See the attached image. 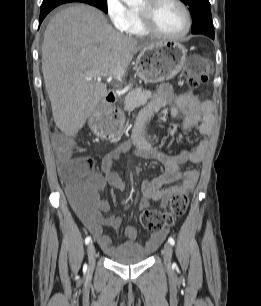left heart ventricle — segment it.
I'll list each match as a JSON object with an SVG mask.
<instances>
[{
	"mask_svg": "<svg viewBox=\"0 0 261 306\" xmlns=\"http://www.w3.org/2000/svg\"><path fill=\"white\" fill-rule=\"evenodd\" d=\"M153 17L157 28L166 34H178L185 27V17L182 10L171 0L160 2L155 7Z\"/></svg>",
	"mask_w": 261,
	"mask_h": 306,
	"instance_id": "1",
	"label": "left heart ventricle"
}]
</instances>
